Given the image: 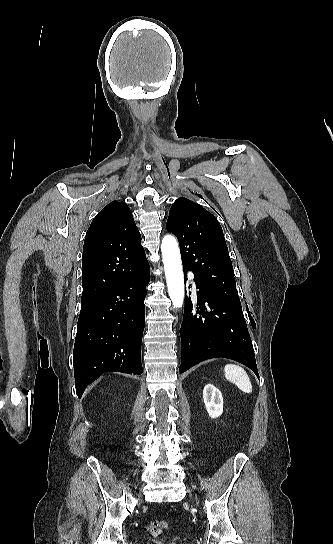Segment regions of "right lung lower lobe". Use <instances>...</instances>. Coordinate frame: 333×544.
<instances>
[{
  "instance_id": "right-lung-lower-lobe-1",
  "label": "right lung lower lobe",
  "mask_w": 333,
  "mask_h": 544,
  "mask_svg": "<svg viewBox=\"0 0 333 544\" xmlns=\"http://www.w3.org/2000/svg\"><path fill=\"white\" fill-rule=\"evenodd\" d=\"M149 280L146 264L111 291L81 303L73 351L78 396L106 371L142 373L144 299Z\"/></svg>"
}]
</instances>
